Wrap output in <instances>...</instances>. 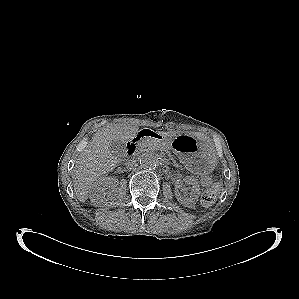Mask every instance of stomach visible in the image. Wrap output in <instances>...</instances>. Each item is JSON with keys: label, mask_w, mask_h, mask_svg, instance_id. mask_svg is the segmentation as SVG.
Listing matches in <instances>:
<instances>
[{"label": "stomach", "mask_w": 299, "mask_h": 299, "mask_svg": "<svg viewBox=\"0 0 299 299\" xmlns=\"http://www.w3.org/2000/svg\"><path fill=\"white\" fill-rule=\"evenodd\" d=\"M163 141L178 154L182 162L192 171L203 173L211 169L213 157L196 137L188 135L164 136Z\"/></svg>", "instance_id": "0dacf381"}]
</instances>
